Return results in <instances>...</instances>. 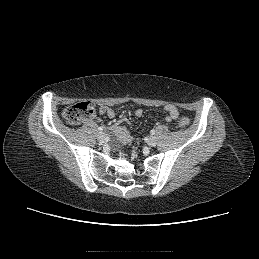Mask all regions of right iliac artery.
Listing matches in <instances>:
<instances>
[{
	"label": "right iliac artery",
	"mask_w": 259,
	"mask_h": 259,
	"mask_svg": "<svg viewBox=\"0 0 259 259\" xmlns=\"http://www.w3.org/2000/svg\"><path fill=\"white\" fill-rule=\"evenodd\" d=\"M98 130H99L100 132H102V131H103V127L100 126V127L98 128Z\"/></svg>",
	"instance_id": "obj_1"
}]
</instances>
